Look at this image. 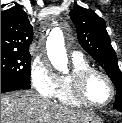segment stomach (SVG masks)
Masks as SVG:
<instances>
[{"mask_svg": "<svg viewBox=\"0 0 122 123\" xmlns=\"http://www.w3.org/2000/svg\"><path fill=\"white\" fill-rule=\"evenodd\" d=\"M86 123H103V122L98 116H96V118H93L92 120H90Z\"/></svg>", "mask_w": 122, "mask_h": 123, "instance_id": "stomach-1", "label": "stomach"}]
</instances>
